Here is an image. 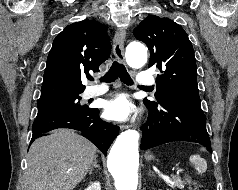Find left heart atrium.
<instances>
[{
    "instance_id": "1",
    "label": "left heart atrium",
    "mask_w": 238,
    "mask_h": 190,
    "mask_svg": "<svg viewBox=\"0 0 238 190\" xmlns=\"http://www.w3.org/2000/svg\"><path fill=\"white\" fill-rule=\"evenodd\" d=\"M136 111V107L127 94H117L104 104V115L107 119L126 121Z\"/></svg>"
}]
</instances>
